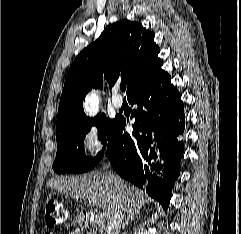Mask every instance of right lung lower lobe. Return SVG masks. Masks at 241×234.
<instances>
[{
	"label": "right lung lower lobe",
	"mask_w": 241,
	"mask_h": 234,
	"mask_svg": "<svg viewBox=\"0 0 241 234\" xmlns=\"http://www.w3.org/2000/svg\"><path fill=\"white\" fill-rule=\"evenodd\" d=\"M135 117L133 133L124 132L126 119L118 117L106 156L121 177L144 189L166 208L180 174L185 114L181 95L161 68L128 96Z\"/></svg>",
	"instance_id": "98d812e1"
}]
</instances>
